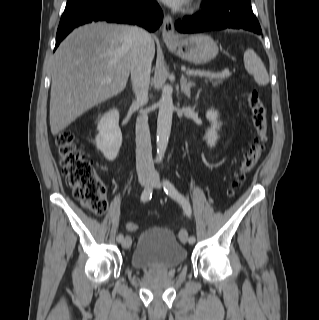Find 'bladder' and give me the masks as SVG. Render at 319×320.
<instances>
[{
  "instance_id": "1",
  "label": "bladder",
  "mask_w": 319,
  "mask_h": 320,
  "mask_svg": "<svg viewBox=\"0 0 319 320\" xmlns=\"http://www.w3.org/2000/svg\"><path fill=\"white\" fill-rule=\"evenodd\" d=\"M187 259V250L166 228H150L140 233L129 263L136 270L172 269Z\"/></svg>"
}]
</instances>
